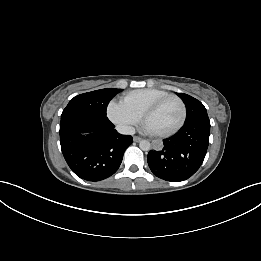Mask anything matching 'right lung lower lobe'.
Masks as SVG:
<instances>
[{
	"label": "right lung lower lobe",
	"instance_id": "98d812e1",
	"mask_svg": "<svg viewBox=\"0 0 261 261\" xmlns=\"http://www.w3.org/2000/svg\"><path fill=\"white\" fill-rule=\"evenodd\" d=\"M106 116L80 110H64L60 122V144L71 170L87 181H100L119 168L133 139L119 134ZM89 133L87 136L81 133Z\"/></svg>",
	"mask_w": 261,
	"mask_h": 261
}]
</instances>
